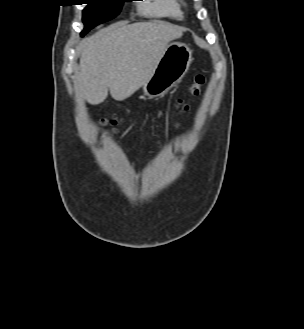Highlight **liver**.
<instances>
[{"instance_id":"1","label":"liver","mask_w":304,"mask_h":329,"mask_svg":"<svg viewBox=\"0 0 304 329\" xmlns=\"http://www.w3.org/2000/svg\"><path fill=\"white\" fill-rule=\"evenodd\" d=\"M183 29L163 21L118 23L82 41L78 86L91 105L123 101L149 81L167 45Z\"/></svg>"}]
</instances>
